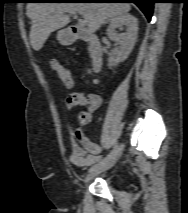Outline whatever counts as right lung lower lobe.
Wrapping results in <instances>:
<instances>
[{"label":"right lung lower lobe","mask_w":188,"mask_h":213,"mask_svg":"<svg viewBox=\"0 0 188 213\" xmlns=\"http://www.w3.org/2000/svg\"><path fill=\"white\" fill-rule=\"evenodd\" d=\"M32 1H45V0H32ZM98 1H119V2H94V3H135L145 14L148 20H150L152 17L153 4L156 3L155 0H98ZM30 3H47V2H30Z\"/></svg>","instance_id":"right-lung-lower-lobe-1"}]
</instances>
